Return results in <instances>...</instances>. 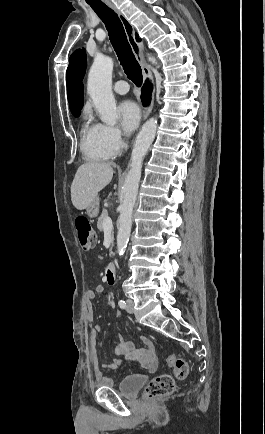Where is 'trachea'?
Segmentation results:
<instances>
[{
    "mask_svg": "<svg viewBox=\"0 0 265 434\" xmlns=\"http://www.w3.org/2000/svg\"><path fill=\"white\" fill-rule=\"evenodd\" d=\"M89 5L105 23L113 48L127 77L137 87H140L142 84V70L128 43L124 27L118 15L104 3H89Z\"/></svg>",
    "mask_w": 265,
    "mask_h": 434,
    "instance_id": "obj_1",
    "label": "trachea"
}]
</instances>
